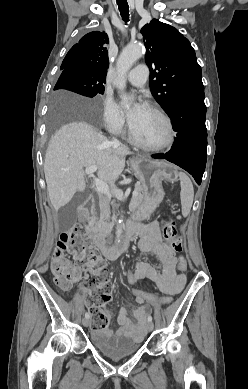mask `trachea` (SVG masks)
Returning <instances> with one entry per match:
<instances>
[{
  "mask_svg": "<svg viewBox=\"0 0 248 389\" xmlns=\"http://www.w3.org/2000/svg\"><path fill=\"white\" fill-rule=\"evenodd\" d=\"M117 5L122 16V19L125 22L129 21V6L127 0H117Z\"/></svg>",
  "mask_w": 248,
  "mask_h": 389,
  "instance_id": "trachea-1",
  "label": "trachea"
}]
</instances>
